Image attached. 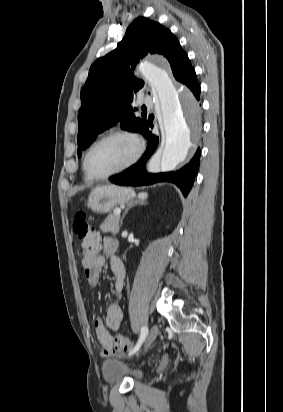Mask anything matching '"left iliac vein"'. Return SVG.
Listing matches in <instances>:
<instances>
[{"instance_id": "obj_1", "label": "left iliac vein", "mask_w": 283, "mask_h": 412, "mask_svg": "<svg viewBox=\"0 0 283 412\" xmlns=\"http://www.w3.org/2000/svg\"><path fill=\"white\" fill-rule=\"evenodd\" d=\"M159 333V328L158 325L155 324L152 326V328L150 329L149 333L147 334L146 340H145V344H144V348L146 349L147 347H149L152 342L155 340V338L157 337Z\"/></svg>"}]
</instances>
